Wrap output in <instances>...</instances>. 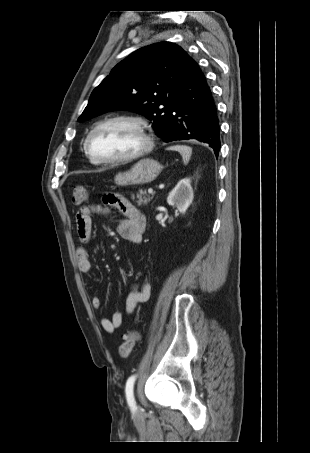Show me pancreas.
Instances as JSON below:
<instances>
[{
    "mask_svg": "<svg viewBox=\"0 0 310 453\" xmlns=\"http://www.w3.org/2000/svg\"><path fill=\"white\" fill-rule=\"evenodd\" d=\"M136 198H137V201H136L137 205L141 206V205H147L153 199V196H149L146 194V191L140 190L139 193L136 194ZM132 199L134 200L135 197L132 196Z\"/></svg>",
    "mask_w": 310,
    "mask_h": 453,
    "instance_id": "cf45deb5",
    "label": "pancreas"
}]
</instances>
